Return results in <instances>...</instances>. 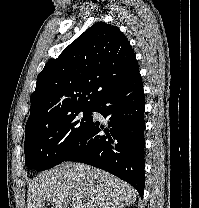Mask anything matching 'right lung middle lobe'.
<instances>
[{
	"instance_id": "obj_1",
	"label": "right lung middle lobe",
	"mask_w": 199,
	"mask_h": 208,
	"mask_svg": "<svg viewBox=\"0 0 199 208\" xmlns=\"http://www.w3.org/2000/svg\"><path fill=\"white\" fill-rule=\"evenodd\" d=\"M92 111V106L76 109L26 134L24 152L27 167L41 171L65 161L93 122Z\"/></svg>"
}]
</instances>
